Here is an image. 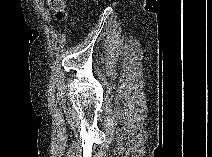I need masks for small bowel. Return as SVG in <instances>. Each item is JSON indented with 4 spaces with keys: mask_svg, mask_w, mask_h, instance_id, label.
<instances>
[{
    "mask_svg": "<svg viewBox=\"0 0 212 157\" xmlns=\"http://www.w3.org/2000/svg\"><path fill=\"white\" fill-rule=\"evenodd\" d=\"M35 5H36L39 15L43 18V20L46 22H50V13L44 7L43 2L38 0V1H36Z\"/></svg>",
    "mask_w": 212,
    "mask_h": 157,
    "instance_id": "small-bowel-1",
    "label": "small bowel"
}]
</instances>
